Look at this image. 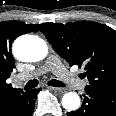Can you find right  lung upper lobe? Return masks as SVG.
<instances>
[{
	"instance_id": "right-lung-upper-lobe-1",
	"label": "right lung upper lobe",
	"mask_w": 116,
	"mask_h": 116,
	"mask_svg": "<svg viewBox=\"0 0 116 116\" xmlns=\"http://www.w3.org/2000/svg\"><path fill=\"white\" fill-rule=\"evenodd\" d=\"M41 24H25L21 21L0 22V113L23 90L13 88L6 80L15 67L11 53L12 42L20 35L39 31Z\"/></svg>"
}]
</instances>
